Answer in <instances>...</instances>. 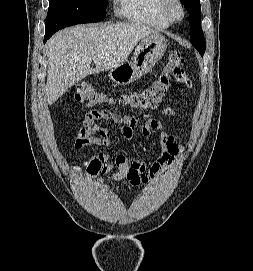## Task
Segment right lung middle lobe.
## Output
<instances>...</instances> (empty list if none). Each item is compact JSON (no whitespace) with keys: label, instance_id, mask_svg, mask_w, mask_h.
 Returning <instances> with one entry per match:
<instances>
[{"label":"right lung middle lobe","instance_id":"right-lung-middle-lobe-1","mask_svg":"<svg viewBox=\"0 0 253 271\" xmlns=\"http://www.w3.org/2000/svg\"><path fill=\"white\" fill-rule=\"evenodd\" d=\"M106 0H50L45 34L67 26L105 19Z\"/></svg>","mask_w":253,"mask_h":271}]
</instances>
